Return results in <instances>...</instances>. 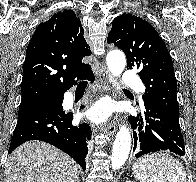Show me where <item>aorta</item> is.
I'll list each match as a JSON object with an SVG mask.
<instances>
[{"label":"aorta","mask_w":196,"mask_h":182,"mask_svg":"<svg viewBox=\"0 0 196 182\" xmlns=\"http://www.w3.org/2000/svg\"><path fill=\"white\" fill-rule=\"evenodd\" d=\"M107 66L113 76L118 77L125 69V55L119 51H110L107 55ZM131 148V134L125 125L120 127L112 149L111 167L114 170L120 169L126 162Z\"/></svg>","instance_id":"1"}]
</instances>
